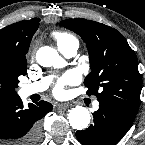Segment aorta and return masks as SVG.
<instances>
[{
    "label": "aorta",
    "instance_id": "aorta-1",
    "mask_svg": "<svg viewBox=\"0 0 145 145\" xmlns=\"http://www.w3.org/2000/svg\"><path fill=\"white\" fill-rule=\"evenodd\" d=\"M36 60L43 67L62 68L65 66V60L59 56L56 49L43 46L36 52ZM70 126L77 130H82L88 127L91 117L90 112L83 106H76L68 113Z\"/></svg>",
    "mask_w": 145,
    "mask_h": 145
}]
</instances>
